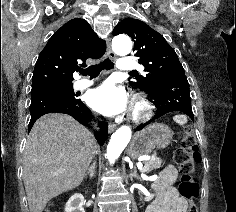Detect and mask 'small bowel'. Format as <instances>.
Instances as JSON below:
<instances>
[{
  "mask_svg": "<svg viewBox=\"0 0 236 212\" xmlns=\"http://www.w3.org/2000/svg\"><path fill=\"white\" fill-rule=\"evenodd\" d=\"M177 179V170L174 166L165 167L155 183L158 197L150 203L147 212H187V201L179 196L173 187Z\"/></svg>",
  "mask_w": 236,
  "mask_h": 212,
  "instance_id": "c3829d8e",
  "label": "small bowel"
}]
</instances>
